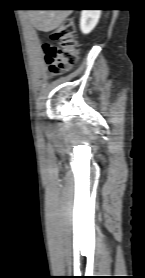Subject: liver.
Segmentation results:
<instances>
[{"mask_svg": "<svg viewBox=\"0 0 145 278\" xmlns=\"http://www.w3.org/2000/svg\"><path fill=\"white\" fill-rule=\"evenodd\" d=\"M31 24L38 30L50 32L63 24L72 10H28Z\"/></svg>", "mask_w": 145, "mask_h": 278, "instance_id": "obj_1", "label": "liver"}]
</instances>
